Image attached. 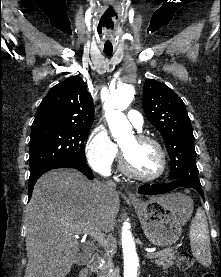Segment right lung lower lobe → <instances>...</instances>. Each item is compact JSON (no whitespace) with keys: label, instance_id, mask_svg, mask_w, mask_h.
I'll return each instance as SVG.
<instances>
[{"label":"right lung lower lobe","instance_id":"98d812e1","mask_svg":"<svg viewBox=\"0 0 221 277\" xmlns=\"http://www.w3.org/2000/svg\"><path fill=\"white\" fill-rule=\"evenodd\" d=\"M56 168H74V169H77V170L81 171L89 179H93L94 178L91 169L88 167V165L85 162H81V161H68V162L62 163L60 165H57V166H55L53 168L46 169V170L42 171L40 174H38V175H36L34 177H30L29 178V189H28L29 198L32 195L34 184L36 183L37 179L42 174H44L45 172H47V171H49L51 169H56Z\"/></svg>","mask_w":221,"mask_h":277}]
</instances>
